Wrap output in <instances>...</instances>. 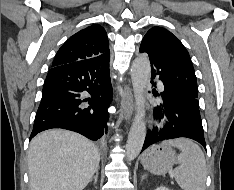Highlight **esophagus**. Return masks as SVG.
<instances>
[{
  "label": "esophagus",
  "mask_w": 234,
  "mask_h": 190,
  "mask_svg": "<svg viewBox=\"0 0 234 190\" xmlns=\"http://www.w3.org/2000/svg\"><path fill=\"white\" fill-rule=\"evenodd\" d=\"M121 107L124 119L129 121L133 112V95L129 86L125 88L124 96L121 101Z\"/></svg>",
  "instance_id": "esophagus-1"
}]
</instances>
